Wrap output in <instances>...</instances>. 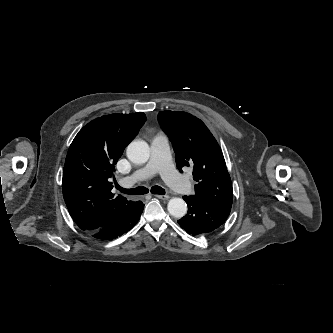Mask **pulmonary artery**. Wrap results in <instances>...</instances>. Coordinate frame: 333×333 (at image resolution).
Masks as SVG:
<instances>
[{"mask_svg":"<svg viewBox=\"0 0 333 333\" xmlns=\"http://www.w3.org/2000/svg\"><path fill=\"white\" fill-rule=\"evenodd\" d=\"M151 156L148 163L126 177L122 184L131 187L133 184L148 179L159 173L163 180L181 193L191 190V183L174 169L170 157L169 139L164 134L156 135L150 143Z\"/></svg>","mask_w":333,"mask_h":333,"instance_id":"pulmonary-artery-1","label":"pulmonary artery"}]
</instances>
